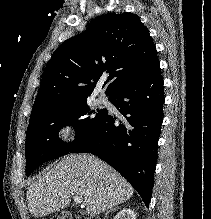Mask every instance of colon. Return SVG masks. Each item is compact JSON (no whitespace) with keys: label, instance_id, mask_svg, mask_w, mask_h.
<instances>
[{"label":"colon","instance_id":"colon-1","mask_svg":"<svg viewBox=\"0 0 211 219\" xmlns=\"http://www.w3.org/2000/svg\"><path fill=\"white\" fill-rule=\"evenodd\" d=\"M52 219H84V218L75 217L70 213L61 212L58 214L57 217ZM90 219H96V218H90Z\"/></svg>","mask_w":211,"mask_h":219}]
</instances>
